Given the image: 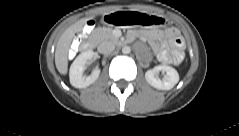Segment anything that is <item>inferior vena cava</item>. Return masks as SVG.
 I'll return each instance as SVG.
<instances>
[{
	"instance_id": "602c4592",
	"label": "inferior vena cava",
	"mask_w": 239,
	"mask_h": 136,
	"mask_svg": "<svg viewBox=\"0 0 239 136\" xmlns=\"http://www.w3.org/2000/svg\"><path fill=\"white\" fill-rule=\"evenodd\" d=\"M115 49V44L110 41H104L99 44L97 50L99 53L107 54L113 52Z\"/></svg>"
}]
</instances>
